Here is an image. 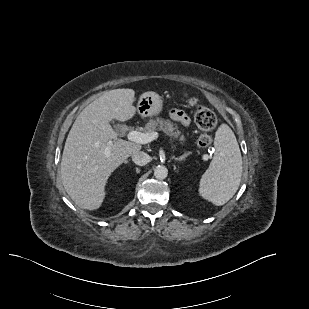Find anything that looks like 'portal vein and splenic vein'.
<instances>
[{"instance_id":"1","label":"portal vein and splenic vein","mask_w":309,"mask_h":309,"mask_svg":"<svg viewBox=\"0 0 309 309\" xmlns=\"http://www.w3.org/2000/svg\"><path fill=\"white\" fill-rule=\"evenodd\" d=\"M159 136L158 132H150V133H142L136 130L130 131L127 134V138L133 142L139 144H147L157 139ZM105 155L108 157L110 155L109 149L106 148ZM204 159L206 160V155H204Z\"/></svg>"}]
</instances>
